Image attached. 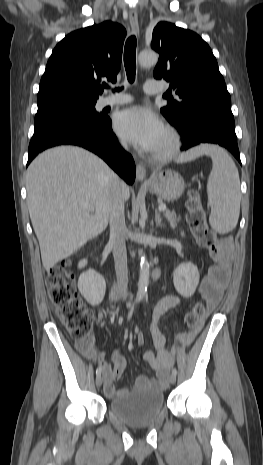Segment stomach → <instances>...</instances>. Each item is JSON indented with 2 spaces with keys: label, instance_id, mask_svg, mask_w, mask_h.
<instances>
[{
  "label": "stomach",
  "instance_id": "0dacf381",
  "mask_svg": "<svg viewBox=\"0 0 263 465\" xmlns=\"http://www.w3.org/2000/svg\"><path fill=\"white\" fill-rule=\"evenodd\" d=\"M185 188L183 178L175 171L165 170L153 173L148 185L150 192L166 201L180 198Z\"/></svg>",
  "mask_w": 263,
  "mask_h": 465
}]
</instances>
